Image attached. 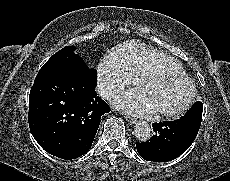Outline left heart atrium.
Returning <instances> with one entry per match:
<instances>
[{
    "label": "left heart atrium",
    "mask_w": 230,
    "mask_h": 181,
    "mask_svg": "<svg viewBox=\"0 0 230 181\" xmlns=\"http://www.w3.org/2000/svg\"><path fill=\"white\" fill-rule=\"evenodd\" d=\"M117 107L138 116H147L155 112L154 107L144 97L143 90H130L115 99Z\"/></svg>",
    "instance_id": "obj_1"
}]
</instances>
